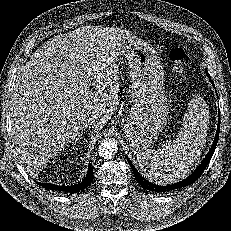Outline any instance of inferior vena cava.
Wrapping results in <instances>:
<instances>
[{
    "instance_id": "obj_1",
    "label": "inferior vena cava",
    "mask_w": 231,
    "mask_h": 231,
    "mask_svg": "<svg viewBox=\"0 0 231 231\" xmlns=\"http://www.w3.org/2000/svg\"><path fill=\"white\" fill-rule=\"evenodd\" d=\"M95 124H96V119L93 117L84 118L82 121L83 127H92Z\"/></svg>"
}]
</instances>
